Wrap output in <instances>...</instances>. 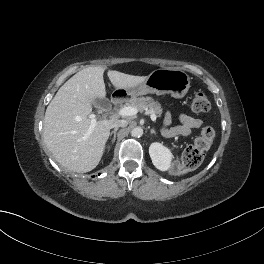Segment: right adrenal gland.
<instances>
[{
    "mask_svg": "<svg viewBox=\"0 0 264 264\" xmlns=\"http://www.w3.org/2000/svg\"><path fill=\"white\" fill-rule=\"evenodd\" d=\"M118 128H115L111 133H110V137L113 135V139H112V144L115 142L116 140V133H117Z\"/></svg>",
    "mask_w": 264,
    "mask_h": 264,
    "instance_id": "2a0ac1e0",
    "label": "right adrenal gland"
}]
</instances>
